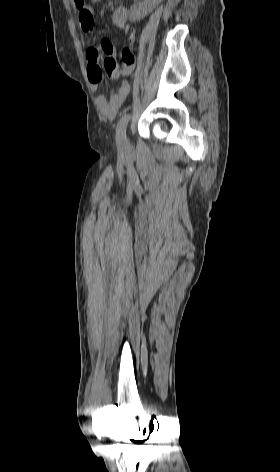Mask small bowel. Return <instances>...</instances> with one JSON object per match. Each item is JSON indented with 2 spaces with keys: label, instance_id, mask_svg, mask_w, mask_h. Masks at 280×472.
I'll return each mask as SVG.
<instances>
[{
  "label": "small bowel",
  "instance_id": "1",
  "mask_svg": "<svg viewBox=\"0 0 280 472\" xmlns=\"http://www.w3.org/2000/svg\"><path fill=\"white\" fill-rule=\"evenodd\" d=\"M79 12V23L83 31L92 32L94 29V16L92 8L86 3V0H73ZM94 3L102 0H91ZM128 9L120 5L115 8L112 20L113 23L123 32L128 34L129 44H134L136 41V34L134 29L128 23ZM104 55V61L111 59L116 61V50L113 43L109 39H102L98 47L91 46L86 51V59L88 61L87 72L91 84V89L96 91L103 77L102 68L100 65V55ZM134 69V65L124 64L119 68L120 76H129ZM130 91L128 82L123 81L119 87L110 93L109 97L99 95L96 97V104L100 111L109 119H113L118 113L120 107L124 103Z\"/></svg>",
  "mask_w": 280,
  "mask_h": 472
}]
</instances>
